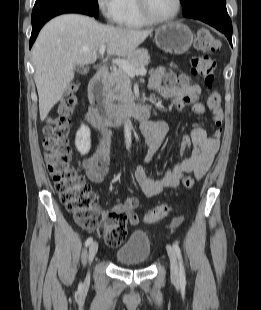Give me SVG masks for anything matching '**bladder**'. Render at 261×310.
Segmentation results:
<instances>
[{
    "mask_svg": "<svg viewBox=\"0 0 261 310\" xmlns=\"http://www.w3.org/2000/svg\"><path fill=\"white\" fill-rule=\"evenodd\" d=\"M151 256V242L147 233L134 231L127 241L117 248L115 258L128 265L145 264Z\"/></svg>",
    "mask_w": 261,
    "mask_h": 310,
    "instance_id": "31cf9c89",
    "label": "bladder"
}]
</instances>
